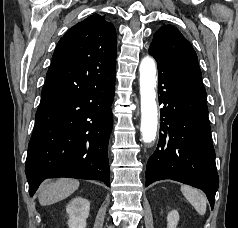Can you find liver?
<instances>
[{
	"label": "liver",
	"mask_w": 238,
	"mask_h": 228,
	"mask_svg": "<svg viewBox=\"0 0 238 228\" xmlns=\"http://www.w3.org/2000/svg\"><path fill=\"white\" fill-rule=\"evenodd\" d=\"M78 187L79 181L75 179L47 180L39 188V203L46 206L59 202L69 197Z\"/></svg>",
	"instance_id": "obj_1"
}]
</instances>
